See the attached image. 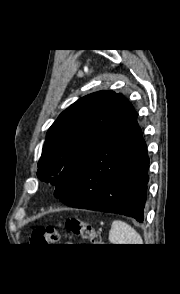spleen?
Segmentation results:
<instances>
[{"instance_id":"obj_1","label":"spleen","mask_w":180,"mask_h":294,"mask_svg":"<svg viewBox=\"0 0 180 294\" xmlns=\"http://www.w3.org/2000/svg\"><path fill=\"white\" fill-rule=\"evenodd\" d=\"M109 241L112 244H143L142 237L129 224L115 220L109 231Z\"/></svg>"}]
</instances>
